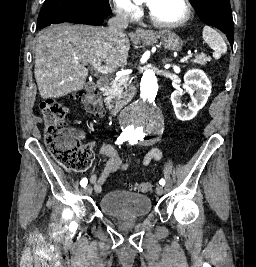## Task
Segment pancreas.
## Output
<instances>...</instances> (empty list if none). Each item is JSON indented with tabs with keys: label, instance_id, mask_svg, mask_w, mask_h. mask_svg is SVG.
<instances>
[{
	"label": "pancreas",
	"instance_id": "obj_1",
	"mask_svg": "<svg viewBox=\"0 0 256 267\" xmlns=\"http://www.w3.org/2000/svg\"><path fill=\"white\" fill-rule=\"evenodd\" d=\"M211 58H207L205 54H199L196 60H193V64H200V66H206L207 62H210ZM136 88H132L129 84V80L127 76H121L119 80H111L109 90H108V98H105L104 102H106L107 106H109V102L112 104H116V106H126L127 102H130L129 96H135Z\"/></svg>",
	"mask_w": 256,
	"mask_h": 267
}]
</instances>
